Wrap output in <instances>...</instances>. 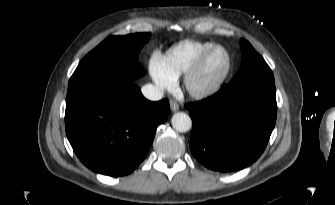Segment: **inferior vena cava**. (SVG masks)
<instances>
[{"label":"inferior vena cava","instance_id":"602c4592","mask_svg":"<svg viewBox=\"0 0 335 205\" xmlns=\"http://www.w3.org/2000/svg\"><path fill=\"white\" fill-rule=\"evenodd\" d=\"M142 94L149 100L157 101L163 98V91L152 84H146L141 88Z\"/></svg>","mask_w":335,"mask_h":205}]
</instances>
